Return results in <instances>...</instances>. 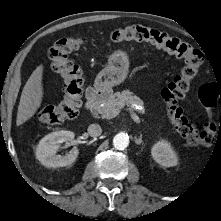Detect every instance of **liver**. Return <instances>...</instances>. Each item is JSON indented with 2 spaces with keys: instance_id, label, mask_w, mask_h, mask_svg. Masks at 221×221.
<instances>
[{
  "instance_id": "obj_1",
  "label": "liver",
  "mask_w": 221,
  "mask_h": 221,
  "mask_svg": "<svg viewBox=\"0 0 221 221\" xmlns=\"http://www.w3.org/2000/svg\"><path fill=\"white\" fill-rule=\"evenodd\" d=\"M43 65H39L26 82L18 106L16 124L22 125L38 110L43 97Z\"/></svg>"
}]
</instances>
